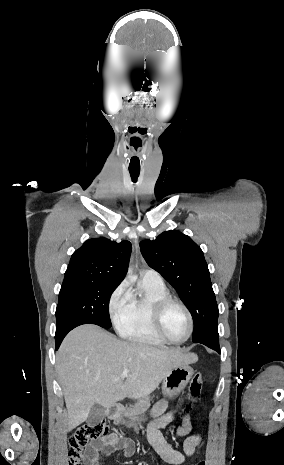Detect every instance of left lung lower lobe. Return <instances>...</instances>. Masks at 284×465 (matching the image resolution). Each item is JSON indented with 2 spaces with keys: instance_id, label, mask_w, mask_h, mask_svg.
<instances>
[{
  "instance_id": "0a47b994",
  "label": "left lung lower lobe",
  "mask_w": 284,
  "mask_h": 465,
  "mask_svg": "<svg viewBox=\"0 0 284 465\" xmlns=\"http://www.w3.org/2000/svg\"><path fill=\"white\" fill-rule=\"evenodd\" d=\"M196 343L204 344V345L208 346L209 348H212V349H214V350H216L217 352L220 353L219 335L218 334H216V335H208V336L198 340Z\"/></svg>"
}]
</instances>
